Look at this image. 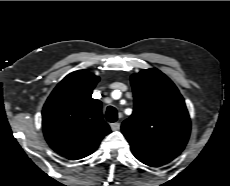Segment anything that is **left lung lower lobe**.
<instances>
[{
    "mask_svg": "<svg viewBox=\"0 0 230 186\" xmlns=\"http://www.w3.org/2000/svg\"><path fill=\"white\" fill-rule=\"evenodd\" d=\"M142 163L148 165V166H151V167H155V166H159L160 164H154V163H147V162H144V161H141Z\"/></svg>",
    "mask_w": 230,
    "mask_h": 186,
    "instance_id": "1",
    "label": "left lung lower lobe"
}]
</instances>
